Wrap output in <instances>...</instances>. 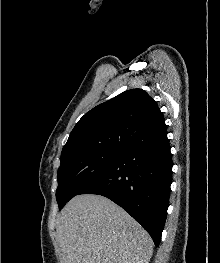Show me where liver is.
Returning a JSON list of instances; mask_svg holds the SVG:
<instances>
[{
  "mask_svg": "<svg viewBox=\"0 0 220 263\" xmlns=\"http://www.w3.org/2000/svg\"><path fill=\"white\" fill-rule=\"evenodd\" d=\"M56 238L61 263H148L150 235L106 197L83 194L60 212Z\"/></svg>",
  "mask_w": 220,
  "mask_h": 263,
  "instance_id": "liver-1",
  "label": "liver"
}]
</instances>
